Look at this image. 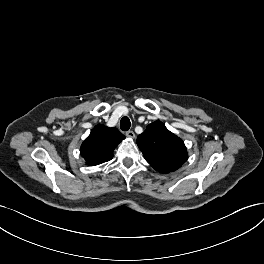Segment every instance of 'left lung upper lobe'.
I'll list each match as a JSON object with an SVG mask.
<instances>
[{
    "label": "left lung upper lobe",
    "mask_w": 264,
    "mask_h": 264,
    "mask_svg": "<svg viewBox=\"0 0 264 264\" xmlns=\"http://www.w3.org/2000/svg\"><path fill=\"white\" fill-rule=\"evenodd\" d=\"M137 145L146 161L161 173L175 171L188 157L183 141L161 121L149 124L137 137Z\"/></svg>",
    "instance_id": "obj_1"
}]
</instances>
